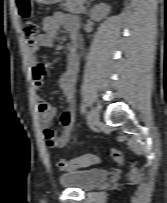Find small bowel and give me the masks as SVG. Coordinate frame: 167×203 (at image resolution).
<instances>
[{
  "label": "small bowel",
  "instance_id": "obj_1",
  "mask_svg": "<svg viewBox=\"0 0 167 203\" xmlns=\"http://www.w3.org/2000/svg\"><path fill=\"white\" fill-rule=\"evenodd\" d=\"M42 28V34L26 40V49L31 65V78L36 89L42 87L43 81L49 73V67L38 59L37 55L40 48L52 46L61 29L67 32L71 40L67 54V71L59 79L67 103L61 115L62 131L60 134H57L50 127L52 119L57 115V109L41 97H37V111L43 126V138L50 148H60L70 141L75 130V85L80 70V59L74 43L79 30V19L73 15L57 12L43 20Z\"/></svg>",
  "mask_w": 167,
  "mask_h": 203
}]
</instances>
